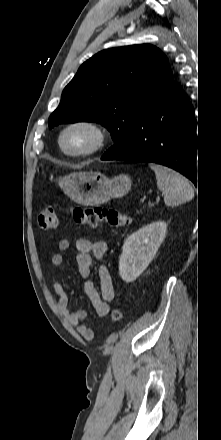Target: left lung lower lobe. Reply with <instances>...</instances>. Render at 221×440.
Segmentation results:
<instances>
[{
	"label": "left lung lower lobe",
	"mask_w": 221,
	"mask_h": 440,
	"mask_svg": "<svg viewBox=\"0 0 221 440\" xmlns=\"http://www.w3.org/2000/svg\"><path fill=\"white\" fill-rule=\"evenodd\" d=\"M196 125L192 104L172 79L139 117L124 152L118 156L103 155L101 160L162 164L196 184Z\"/></svg>",
	"instance_id": "1"
}]
</instances>
